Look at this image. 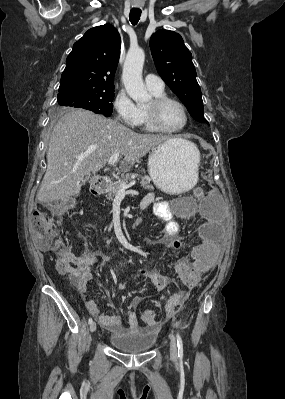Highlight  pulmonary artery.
Listing matches in <instances>:
<instances>
[{
    "label": "pulmonary artery",
    "mask_w": 285,
    "mask_h": 399,
    "mask_svg": "<svg viewBox=\"0 0 285 399\" xmlns=\"http://www.w3.org/2000/svg\"><path fill=\"white\" fill-rule=\"evenodd\" d=\"M144 80L150 91H161L164 89V82L160 77L154 74H147Z\"/></svg>",
    "instance_id": "e3ab8cb5"
}]
</instances>
